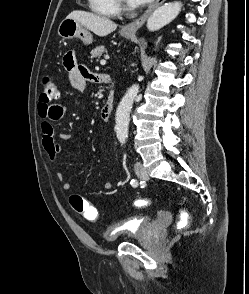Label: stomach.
<instances>
[{
	"mask_svg": "<svg viewBox=\"0 0 249 294\" xmlns=\"http://www.w3.org/2000/svg\"><path fill=\"white\" fill-rule=\"evenodd\" d=\"M120 34L125 38H130L133 35L125 31H121ZM58 35L63 40L79 38L85 45L92 43V35L78 21L71 18H65L61 21L58 27Z\"/></svg>",
	"mask_w": 249,
	"mask_h": 294,
	"instance_id": "obj_1",
	"label": "stomach"
}]
</instances>
